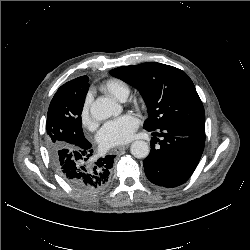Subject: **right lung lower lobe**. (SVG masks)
Listing matches in <instances>:
<instances>
[{"label": "right lung lower lobe", "instance_id": "98d812e1", "mask_svg": "<svg viewBox=\"0 0 250 250\" xmlns=\"http://www.w3.org/2000/svg\"><path fill=\"white\" fill-rule=\"evenodd\" d=\"M93 150L89 141L74 149L63 148L51 153L58 174L82 197H92L108 185L114 155L92 161Z\"/></svg>", "mask_w": 250, "mask_h": 250}]
</instances>
